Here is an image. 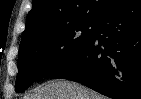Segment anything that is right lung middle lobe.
<instances>
[{
	"instance_id": "right-lung-middle-lobe-1",
	"label": "right lung middle lobe",
	"mask_w": 141,
	"mask_h": 99,
	"mask_svg": "<svg viewBox=\"0 0 141 99\" xmlns=\"http://www.w3.org/2000/svg\"><path fill=\"white\" fill-rule=\"evenodd\" d=\"M96 21L79 22L19 45L16 92L69 64L92 40Z\"/></svg>"
}]
</instances>
